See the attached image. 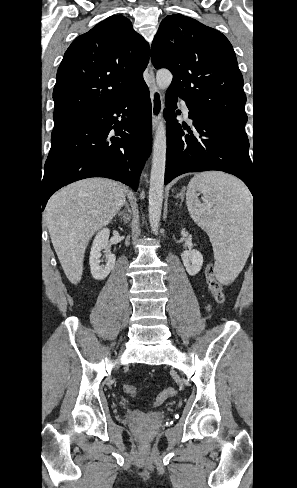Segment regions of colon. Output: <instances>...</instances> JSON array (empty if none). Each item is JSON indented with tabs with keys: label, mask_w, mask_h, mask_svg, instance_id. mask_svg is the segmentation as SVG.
Instances as JSON below:
<instances>
[{
	"label": "colon",
	"mask_w": 297,
	"mask_h": 488,
	"mask_svg": "<svg viewBox=\"0 0 297 488\" xmlns=\"http://www.w3.org/2000/svg\"><path fill=\"white\" fill-rule=\"evenodd\" d=\"M205 276H206V281L207 285L209 288L210 293L212 294L213 298L215 301L219 304H223L225 302V294L223 290L222 284L218 281V279L215 276L214 273V267L212 264H208L205 270ZM124 392L128 394L129 396L135 397L137 390L136 387L133 384L126 383L123 386ZM176 395V389L175 388H166L162 392H160L155 401L154 405L159 406L161 405L164 401L167 399L173 397Z\"/></svg>",
	"instance_id": "colon-1"
}]
</instances>
